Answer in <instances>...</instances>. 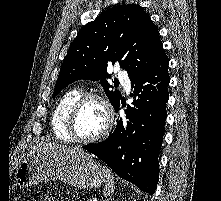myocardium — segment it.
I'll return each instance as SVG.
<instances>
[{"instance_id":"1","label":"myocardium","mask_w":221,"mask_h":201,"mask_svg":"<svg viewBox=\"0 0 221 201\" xmlns=\"http://www.w3.org/2000/svg\"><path fill=\"white\" fill-rule=\"evenodd\" d=\"M90 100H97L103 105L106 114V124L103 130L99 134L90 138H82L78 136L75 131V122L83 105ZM113 124H114V110L110 100L104 95L95 92L84 93L77 99V101L71 107L66 123L67 132L69 136L72 138L74 142L81 144H90L103 139L105 136L108 135V133L112 129Z\"/></svg>"}]
</instances>
